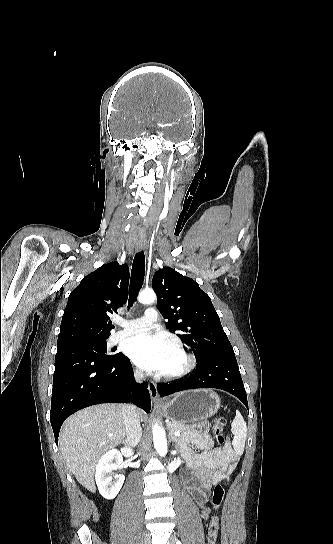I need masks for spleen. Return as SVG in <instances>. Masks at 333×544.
Instances as JSON below:
<instances>
[{"label":"spleen","mask_w":333,"mask_h":544,"mask_svg":"<svg viewBox=\"0 0 333 544\" xmlns=\"http://www.w3.org/2000/svg\"><path fill=\"white\" fill-rule=\"evenodd\" d=\"M231 431L234 435L232 445L234 450L238 454H242L244 451L245 440L247 437V427L241 413L236 410V416L231 424Z\"/></svg>","instance_id":"1"}]
</instances>
